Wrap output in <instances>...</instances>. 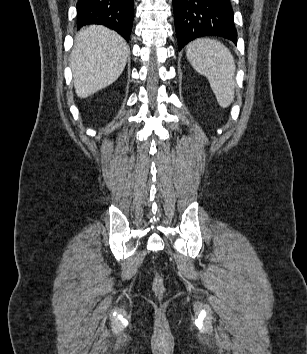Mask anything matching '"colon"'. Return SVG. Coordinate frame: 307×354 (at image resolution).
I'll return each mask as SVG.
<instances>
[{"mask_svg": "<svg viewBox=\"0 0 307 354\" xmlns=\"http://www.w3.org/2000/svg\"><path fill=\"white\" fill-rule=\"evenodd\" d=\"M152 288L157 296H161L164 292L163 279L159 274L154 276Z\"/></svg>", "mask_w": 307, "mask_h": 354, "instance_id": "1", "label": "colon"}]
</instances>
